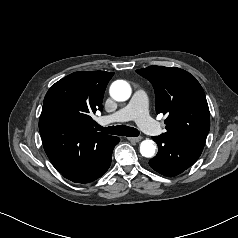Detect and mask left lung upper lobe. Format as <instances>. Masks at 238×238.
Wrapping results in <instances>:
<instances>
[{
    "instance_id": "5c2ea615",
    "label": "left lung upper lobe",
    "mask_w": 238,
    "mask_h": 238,
    "mask_svg": "<svg viewBox=\"0 0 238 238\" xmlns=\"http://www.w3.org/2000/svg\"><path fill=\"white\" fill-rule=\"evenodd\" d=\"M148 79L156 95V113L166 114V132L160 137L204 147L210 129V113L203 88L187 71L164 66L136 70Z\"/></svg>"
}]
</instances>
